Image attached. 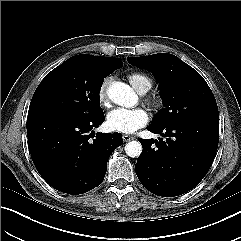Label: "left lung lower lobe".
Returning <instances> with one entry per match:
<instances>
[{"label":"left lung lower lobe","instance_id":"obj_1","mask_svg":"<svg viewBox=\"0 0 241 241\" xmlns=\"http://www.w3.org/2000/svg\"><path fill=\"white\" fill-rule=\"evenodd\" d=\"M147 130L165 139L139 140L143 151L135 171L143 186L163 197L178 196L196 187L213 163L219 123L185 121L164 127L149 125Z\"/></svg>","mask_w":241,"mask_h":241}]
</instances>
